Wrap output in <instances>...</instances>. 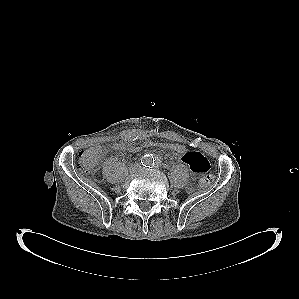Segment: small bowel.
Returning <instances> with one entry per match:
<instances>
[{
	"label": "small bowel",
	"instance_id": "1",
	"mask_svg": "<svg viewBox=\"0 0 299 299\" xmlns=\"http://www.w3.org/2000/svg\"><path fill=\"white\" fill-rule=\"evenodd\" d=\"M124 142L130 147L135 138L132 136H127L124 139ZM125 151L133 152L131 149H126ZM185 164L189 166L192 173L195 175L203 174L209 170L208 160L199 152L194 150H189L185 148V153L183 156L179 157Z\"/></svg>",
	"mask_w": 299,
	"mask_h": 299
}]
</instances>
